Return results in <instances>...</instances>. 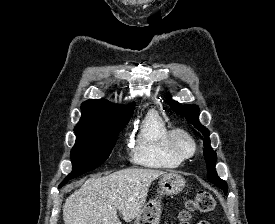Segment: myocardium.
<instances>
[{
	"mask_svg": "<svg viewBox=\"0 0 275 224\" xmlns=\"http://www.w3.org/2000/svg\"><path fill=\"white\" fill-rule=\"evenodd\" d=\"M181 140L187 141L190 146L189 150L182 148ZM167 143L170 151L181 160L193 157L197 151V143L194 137L185 129L178 128L170 130Z\"/></svg>",
	"mask_w": 275,
	"mask_h": 224,
	"instance_id": "obj_1",
	"label": "myocardium"
}]
</instances>
